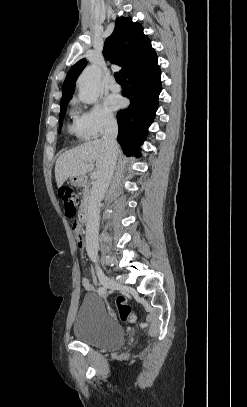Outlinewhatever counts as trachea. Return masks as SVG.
<instances>
[{
  "instance_id": "1",
  "label": "trachea",
  "mask_w": 247,
  "mask_h": 407,
  "mask_svg": "<svg viewBox=\"0 0 247 407\" xmlns=\"http://www.w3.org/2000/svg\"><path fill=\"white\" fill-rule=\"evenodd\" d=\"M114 77H115V80L117 81V82H121L122 80H121V74L119 73V72H115L114 73Z\"/></svg>"
}]
</instances>
